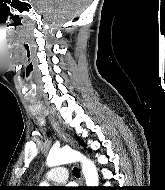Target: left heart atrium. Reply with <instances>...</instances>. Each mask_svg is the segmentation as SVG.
<instances>
[{
    "mask_svg": "<svg viewBox=\"0 0 165 190\" xmlns=\"http://www.w3.org/2000/svg\"><path fill=\"white\" fill-rule=\"evenodd\" d=\"M64 190H73L72 187H66Z\"/></svg>",
    "mask_w": 165,
    "mask_h": 190,
    "instance_id": "left-heart-atrium-1",
    "label": "left heart atrium"
}]
</instances>
